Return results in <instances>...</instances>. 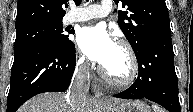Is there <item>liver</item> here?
<instances>
[{"label": "liver", "instance_id": "1", "mask_svg": "<svg viewBox=\"0 0 193 112\" xmlns=\"http://www.w3.org/2000/svg\"><path fill=\"white\" fill-rule=\"evenodd\" d=\"M98 110L96 100L89 95L81 105L73 106L66 94L50 92L31 98L18 109V112H98Z\"/></svg>", "mask_w": 193, "mask_h": 112}]
</instances>
